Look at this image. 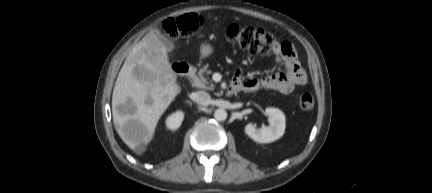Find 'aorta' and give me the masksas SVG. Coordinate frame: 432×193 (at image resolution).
Returning a JSON list of instances; mask_svg holds the SVG:
<instances>
[{
  "mask_svg": "<svg viewBox=\"0 0 432 193\" xmlns=\"http://www.w3.org/2000/svg\"><path fill=\"white\" fill-rule=\"evenodd\" d=\"M214 118L217 121H225L227 118V112L225 109L219 108L214 112Z\"/></svg>",
  "mask_w": 432,
  "mask_h": 193,
  "instance_id": "1",
  "label": "aorta"
}]
</instances>
